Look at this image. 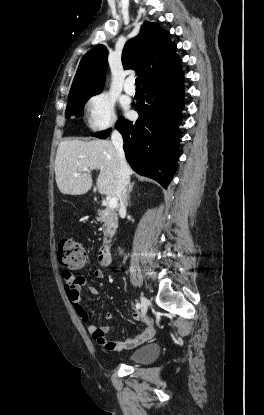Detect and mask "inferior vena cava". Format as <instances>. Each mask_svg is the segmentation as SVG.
Here are the masks:
<instances>
[{
	"instance_id": "1",
	"label": "inferior vena cava",
	"mask_w": 264,
	"mask_h": 415,
	"mask_svg": "<svg viewBox=\"0 0 264 415\" xmlns=\"http://www.w3.org/2000/svg\"><path fill=\"white\" fill-rule=\"evenodd\" d=\"M112 144L114 145L120 161V167L117 177L116 196L120 201V212L126 211L127 206V186L129 184V167L127 165L123 150V139L121 134L114 130L111 135Z\"/></svg>"
}]
</instances>
